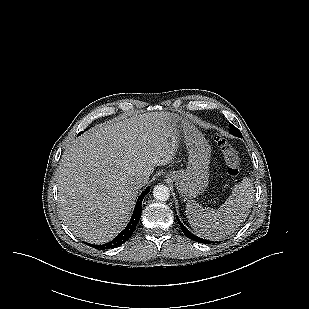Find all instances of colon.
I'll return each instance as SVG.
<instances>
[{
    "label": "colon",
    "mask_w": 309,
    "mask_h": 309,
    "mask_svg": "<svg viewBox=\"0 0 309 309\" xmlns=\"http://www.w3.org/2000/svg\"><path fill=\"white\" fill-rule=\"evenodd\" d=\"M215 140L226 163L227 173L231 177L238 176L241 170V161L236 149L230 142L221 136H216Z\"/></svg>",
    "instance_id": "colon-1"
}]
</instances>
